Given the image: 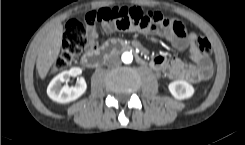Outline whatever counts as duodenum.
I'll return each mask as SVG.
<instances>
[{
	"label": "duodenum",
	"mask_w": 245,
	"mask_h": 145,
	"mask_svg": "<svg viewBox=\"0 0 245 145\" xmlns=\"http://www.w3.org/2000/svg\"><path fill=\"white\" fill-rule=\"evenodd\" d=\"M137 46L125 44L117 39L107 41L96 49H89L82 57V63L88 68H97L113 51H127L133 53L139 63H144V59L135 51Z\"/></svg>",
	"instance_id": "duodenum-1"
}]
</instances>
